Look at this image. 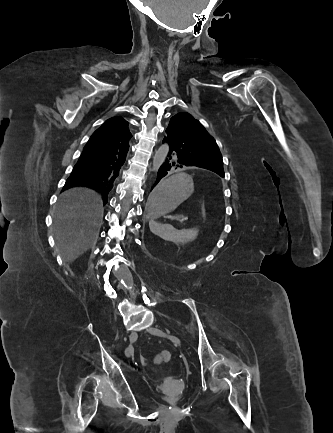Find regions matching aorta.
I'll return each instance as SVG.
<instances>
[{"label": "aorta", "mask_w": 333, "mask_h": 433, "mask_svg": "<svg viewBox=\"0 0 333 433\" xmlns=\"http://www.w3.org/2000/svg\"><path fill=\"white\" fill-rule=\"evenodd\" d=\"M168 152H169L168 144H163L160 146V148L156 151L153 158L152 171H157L160 168V166L165 161Z\"/></svg>", "instance_id": "aorta-1"}]
</instances>
